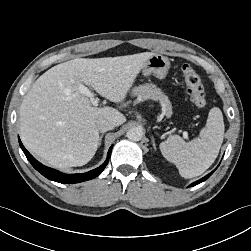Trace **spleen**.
<instances>
[{
    "mask_svg": "<svg viewBox=\"0 0 251 251\" xmlns=\"http://www.w3.org/2000/svg\"><path fill=\"white\" fill-rule=\"evenodd\" d=\"M223 115L219 108L209 111L206 126L199 137L185 142L178 135H171L160 143L164 158L175 164L182 177L188 179L203 174L215 161L224 138Z\"/></svg>",
    "mask_w": 251,
    "mask_h": 251,
    "instance_id": "spleen-1",
    "label": "spleen"
}]
</instances>
